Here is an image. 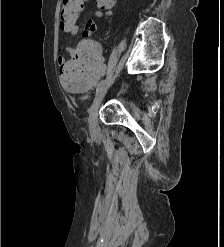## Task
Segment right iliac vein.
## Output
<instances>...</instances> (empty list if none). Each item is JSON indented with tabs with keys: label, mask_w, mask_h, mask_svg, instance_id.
<instances>
[{
	"label": "right iliac vein",
	"mask_w": 224,
	"mask_h": 247,
	"mask_svg": "<svg viewBox=\"0 0 224 247\" xmlns=\"http://www.w3.org/2000/svg\"><path fill=\"white\" fill-rule=\"evenodd\" d=\"M107 92V88H103L101 89L97 96L95 97L91 108H90V112H89V128L90 131L93 134H96L98 132V119H97V115H98V109L100 107V104L103 100V98L105 97Z\"/></svg>",
	"instance_id": "63e3f726"
}]
</instances>
